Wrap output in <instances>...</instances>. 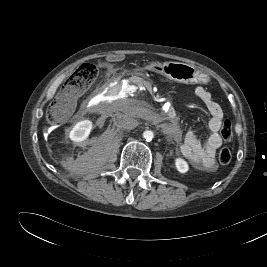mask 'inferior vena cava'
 I'll return each mask as SVG.
<instances>
[{
	"mask_svg": "<svg viewBox=\"0 0 267 267\" xmlns=\"http://www.w3.org/2000/svg\"><path fill=\"white\" fill-rule=\"evenodd\" d=\"M120 127L131 130L138 126V121L132 117L124 116L118 121Z\"/></svg>",
	"mask_w": 267,
	"mask_h": 267,
	"instance_id": "1",
	"label": "inferior vena cava"
}]
</instances>
